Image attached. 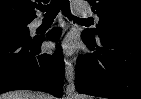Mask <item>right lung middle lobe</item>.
Listing matches in <instances>:
<instances>
[{
	"instance_id": "right-lung-middle-lobe-1",
	"label": "right lung middle lobe",
	"mask_w": 141,
	"mask_h": 99,
	"mask_svg": "<svg viewBox=\"0 0 141 99\" xmlns=\"http://www.w3.org/2000/svg\"><path fill=\"white\" fill-rule=\"evenodd\" d=\"M31 21H2L0 22V36L31 38L27 25Z\"/></svg>"
}]
</instances>
